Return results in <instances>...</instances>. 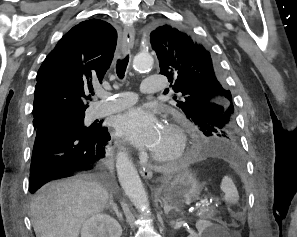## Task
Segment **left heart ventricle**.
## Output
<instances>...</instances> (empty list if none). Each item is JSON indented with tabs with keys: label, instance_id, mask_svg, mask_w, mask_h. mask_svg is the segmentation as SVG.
Listing matches in <instances>:
<instances>
[{
	"label": "left heart ventricle",
	"instance_id": "obj_1",
	"mask_svg": "<svg viewBox=\"0 0 297 237\" xmlns=\"http://www.w3.org/2000/svg\"><path fill=\"white\" fill-rule=\"evenodd\" d=\"M176 146L175 139L173 136L167 131L166 127L163 128L161 137L154 147L152 152L159 154H167L172 151Z\"/></svg>",
	"mask_w": 297,
	"mask_h": 237
}]
</instances>
